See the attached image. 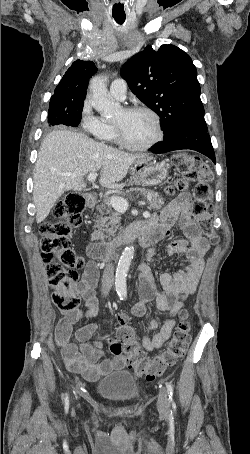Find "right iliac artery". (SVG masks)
Wrapping results in <instances>:
<instances>
[{
  "label": "right iliac artery",
  "mask_w": 250,
  "mask_h": 454,
  "mask_svg": "<svg viewBox=\"0 0 250 454\" xmlns=\"http://www.w3.org/2000/svg\"><path fill=\"white\" fill-rule=\"evenodd\" d=\"M65 405H66V407L68 405V396H67V394H66V397H65Z\"/></svg>",
  "instance_id": "82829eb1"
}]
</instances>
